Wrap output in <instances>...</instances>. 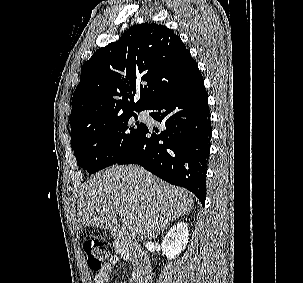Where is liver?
<instances>
[{
    "instance_id": "1",
    "label": "liver",
    "mask_w": 303,
    "mask_h": 283,
    "mask_svg": "<svg viewBox=\"0 0 303 283\" xmlns=\"http://www.w3.org/2000/svg\"><path fill=\"white\" fill-rule=\"evenodd\" d=\"M192 194L160 180L138 166H112L92 175L77 206L78 227L112 229L128 216L132 237L152 238L193 209Z\"/></svg>"
}]
</instances>
